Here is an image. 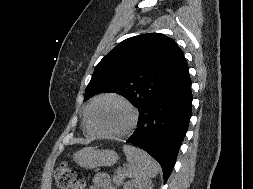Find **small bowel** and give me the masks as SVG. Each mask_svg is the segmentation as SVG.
Segmentation results:
<instances>
[{
  "instance_id": "obj_1",
  "label": "small bowel",
  "mask_w": 253,
  "mask_h": 189,
  "mask_svg": "<svg viewBox=\"0 0 253 189\" xmlns=\"http://www.w3.org/2000/svg\"><path fill=\"white\" fill-rule=\"evenodd\" d=\"M90 189H115L110 181V177L105 172H97L92 178Z\"/></svg>"
}]
</instances>
